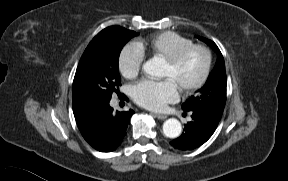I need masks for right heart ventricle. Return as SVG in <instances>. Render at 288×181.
I'll use <instances>...</instances> for the list:
<instances>
[{
	"instance_id": "right-heart-ventricle-1",
	"label": "right heart ventricle",
	"mask_w": 288,
	"mask_h": 181,
	"mask_svg": "<svg viewBox=\"0 0 288 181\" xmlns=\"http://www.w3.org/2000/svg\"><path fill=\"white\" fill-rule=\"evenodd\" d=\"M192 44L191 39L176 32L166 31L139 41L137 46L143 54L164 60Z\"/></svg>"
}]
</instances>
